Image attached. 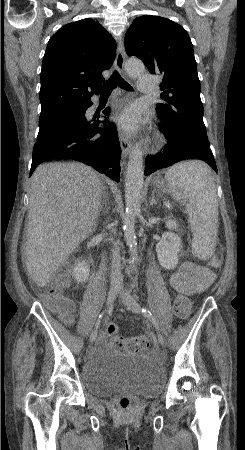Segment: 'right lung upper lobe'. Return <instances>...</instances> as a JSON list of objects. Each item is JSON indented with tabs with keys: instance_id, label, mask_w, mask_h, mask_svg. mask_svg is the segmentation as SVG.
I'll list each match as a JSON object with an SVG mask.
<instances>
[{
	"instance_id": "1",
	"label": "right lung upper lobe",
	"mask_w": 245,
	"mask_h": 450,
	"mask_svg": "<svg viewBox=\"0 0 245 450\" xmlns=\"http://www.w3.org/2000/svg\"><path fill=\"white\" fill-rule=\"evenodd\" d=\"M116 43L92 19L60 28L49 40L41 69V111L83 106L98 94L102 71L115 59Z\"/></svg>"
}]
</instances>
